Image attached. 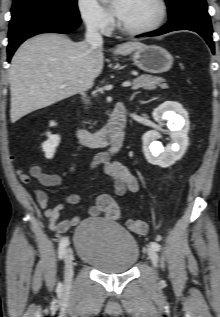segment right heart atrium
Listing matches in <instances>:
<instances>
[{"instance_id":"1","label":"right heart atrium","mask_w":220,"mask_h":317,"mask_svg":"<svg viewBox=\"0 0 220 317\" xmlns=\"http://www.w3.org/2000/svg\"><path fill=\"white\" fill-rule=\"evenodd\" d=\"M77 9L88 28L103 33L110 30L112 19L97 0H77Z\"/></svg>"}]
</instances>
